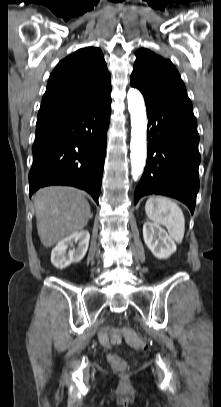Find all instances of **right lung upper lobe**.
I'll use <instances>...</instances> for the list:
<instances>
[{
  "mask_svg": "<svg viewBox=\"0 0 221 407\" xmlns=\"http://www.w3.org/2000/svg\"><path fill=\"white\" fill-rule=\"evenodd\" d=\"M110 92V73L101 50L79 49L60 61L50 75L37 121L87 108Z\"/></svg>",
  "mask_w": 221,
  "mask_h": 407,
  "instance_id": "1",
  "label": "right lung upper lobe"
}]
</instances>
